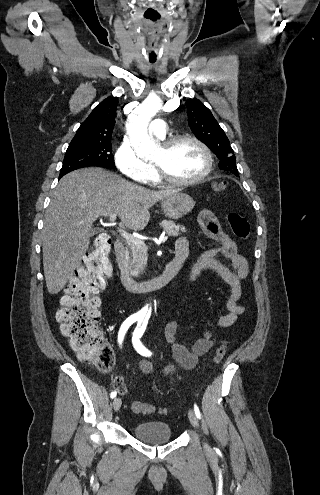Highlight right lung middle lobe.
<instances>
[{
    "label": "right lung middle lobe",
    "mask_w": 320,
    "mask_h": 495,
    "mask_svg": "<svg viewBox=\"0 0 320 495\" xmlns=\"http://www.w3.org/2000/svg\"><path fill=\"white\" fill-rule=\"evenodd\" d=\"M89 166L116 168L111 143H70L59 178L73 170Z\"/></svg>",
    "instance_id": "dd1d6c3e"
}]
</instances>
